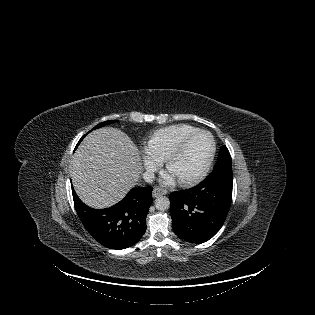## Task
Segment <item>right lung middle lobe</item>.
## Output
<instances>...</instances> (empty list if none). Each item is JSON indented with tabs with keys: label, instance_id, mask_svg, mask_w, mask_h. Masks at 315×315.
Returning a JSON list of instances; mask_svg holds the SVG:
<instances>
[{
	"label": "right lung middle lobe",
	"instance_id": "obj_1",
	"mask_svg": "<svg viewBox=\"0 0 315 315\" xmlns=\"http://www.w3.org/2000/svg\"><path fill=\"white\" fill-rule=\"evenodd\" d=\"M113 122H116L115 120H111V121H105V122H102L100 124H98L97 126H95L93 129H97V128H100L106 124H109V123H113Z\"/></svg>",
	"mask_w": 315,
	"mask_h": 315
}]
</instances>
